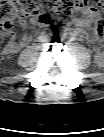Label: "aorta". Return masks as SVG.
<instances>
[{
	"label": "aorta",
	"mask_w": 104,
	"mask_h": 137,
	"mask_svg": "<svg viewBox=\"0 0 104 137\" xmlns=\"http://www.w3.org/2000/svg\"><path fill=\"white\" fill-rule=\"evenodd\" d=\"M55 41L57 43H62L64 41V35L62 33H57L55 35Z\"/></svg>",
	"instance_id": "1"
}]
</instances>
